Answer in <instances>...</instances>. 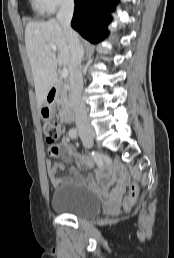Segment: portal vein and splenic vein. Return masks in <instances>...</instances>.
I'll return each mask as SVG.
<instances>
[{
	"label": "portal vein and splenic vein",
	"instance_id": "18ae733b",
	"mask_svg": "<svg viewBox=\"0 0 174 258\" xmlns=\"http://www.w3.org/2000/svg\"><path fill=\"white\" fill-rule=\"evenodd\" d=\"M50 47L53 51L57 50V47L54 44H50ZM67 76H68V70L66 68H63L62 73H61V77L66 78Z\"/></svg>",
	"mask_w": 174,
	"mask_h": 258
}]
</instances>
